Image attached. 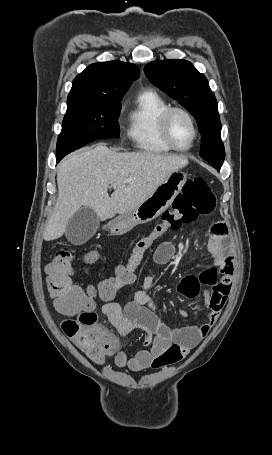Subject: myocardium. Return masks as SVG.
<instances>
[{
    "instance_id": "f54148a6",
    "label": "myocardium",
    "mask_w": 272,
    "mask_h": 455,
    "mask_svg": "<svg viewBox=\"0 0 272 455\" xmlns=\"http://www.w3.org/2000/svg\"><path fill=\"white\" fill-rule=\"evenodd\" d=\"M174 113L183 114L191 124L192 130H193V138L187 147L177 146L171 138L170 130H169V123H170L171 116ZM159 129H160V134H161L163 141L172 150H175L178 152H187V151L191 150L193 148L194 144L196 143L198 135H199L198 127H197L196 121H195L194 117L192 116V114L188 110H186L182 107H179V106H169L162 112V114L159 118Z\"/></svg>"
}]
</instances>
